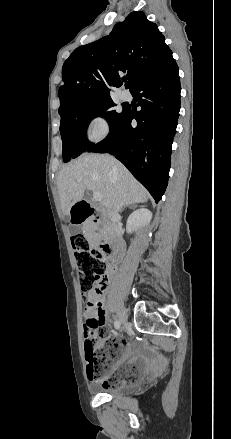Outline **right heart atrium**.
Instances as JSON below:
<instances>
[{
    "instance_id": "1",
    "label": "right heart atrium",
    "mask_w": 231,
    "mask_h": 439,
    "mask_svg": "<svg viewBox=\"0 0 231 439\" xmlns=\"http://www.w3.org/2000/svg\"><path fill=\"white\" fill-rule=\"evenodd\" d=\"M110 131V125L106 116L102 113L92 115L86 126V137L91 142L104 140Z\"/></svg>"
}]
</instances>
